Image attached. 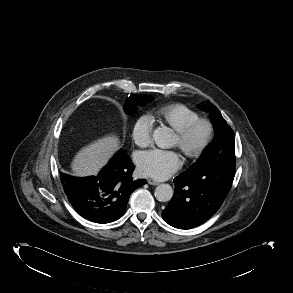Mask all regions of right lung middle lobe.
I'll return each mask as SVG.
<instances>
[{
	"label": "right lung middle lobe",
	"instance_id": "dd1d6c3e",
	"mask_svg": "<svg viewBox=\"0 0 293 293\" xmlns=\"http://www.w3.org/2000/svg\"><path fill=\"white\" fill-rule=\"evenodd\" d=\"M152 100V96L131 94L129 98L126 99L124 110L128 114L135 113L137 106H143Z\"/></svg>",
	"mask_w": 293,
	"mask_h": 293
}]
</instances>
